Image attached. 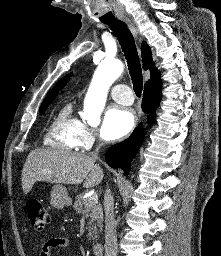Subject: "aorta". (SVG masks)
<instances>
[{"mask_svg": "<svg viewBox=\"0 0 221 256\" xmlns=\"http://www.w3.org/2000/svg\"><path fill=\"white\" fill-rule=\"evenodd\" d=\"M124 65L120 60H104L97 67L84 100L83 117L98 122L105 107L110 86L122 74Z\"/></svg>", "mask_w": 221, "mask_h": 256, "instance_id": "obj_1", "label": "aorta"}]
</instances>
